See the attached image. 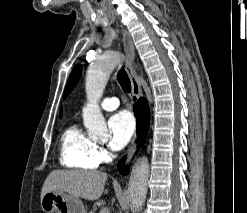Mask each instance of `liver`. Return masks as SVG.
<instances>
[{"label":"liver","mask_w":247,"mask_h":213,"mask_svg":"<svg viewBox=\"0 0 247 213\" xmlns=\"http://www.w3.org/2000/svg\"><path fill=\"white\" fill-rule=\"evenodd\" d=\"M107 174L101 171L87 170H54L46 178L41 196L46 192L68 193L74 198L97 200L104 191Z\"/></svg>","instance_id":"obj_1"}]
</instances>
